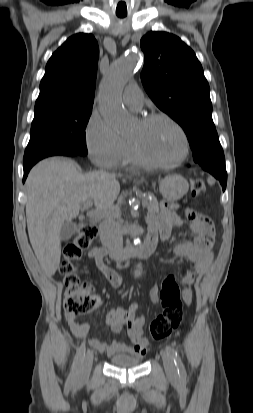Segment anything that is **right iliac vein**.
Masks as SVG:
<instances>
[{"label":"right iliac vein","instance_id":"1","mask_svg":"<svg viewBox=\"0 0 253 413\" xmlns=\"http://www.w3.org/2000/svg\"><path fill=\"white\" fill-rule=\"evenodd\" d=\"M93 363V352L88 351L77 374V381L84 382L88 379Z\"/></svg>","mask_w":253,"mask_h":413}]
</instances>
